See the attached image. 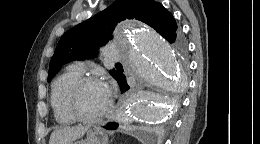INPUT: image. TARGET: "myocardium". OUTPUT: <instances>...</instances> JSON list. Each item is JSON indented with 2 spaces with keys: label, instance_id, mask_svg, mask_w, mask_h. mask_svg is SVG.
<instances>
[{
  "label": "myocardium",
  "instance_id": "obj_1",
  "mask_svg": "<svg viewBox=\"0 0 260 144\" xmlns=\"http://www.w3.org/2000/svg\"><path fill=\"white\" fill-rule=\"evenodd\" d=\"M90 83H101L99 79L93 76H83L80 77L71 87L69 93L66 98V109L68 113L74 118L76 121L84 122V123H95L101 120L106 113L109 111L111 106V100L108 98V102L106 106L94 116H86L80 112L77 106V101L80 95L82 88Z\"/></svg>",
  "mask_w": 260,
  "mask_h": 144
}]
</instances>
